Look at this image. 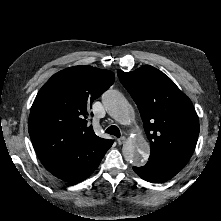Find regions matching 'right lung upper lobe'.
Here are the masks:
<instances>
[{
    "label": "right lung upper lobe",
    "instance_id": "obj_1",
    "mask_svg": "<svg viewBox=\"0 0 221 221\" xmlns=\"http://www.w3.org/2000/svg\"><path fill=\"white\" fill-rule=\"evenodd\" d=\"M114 79V73L109 70L84 65L64 69L46 82L34 100L28 123L40 160L78 144L102 139L86 119L93 101Z\"/></svg>",
    "mask_w": 221,
    "mask_h": 221
}]
</instances>
